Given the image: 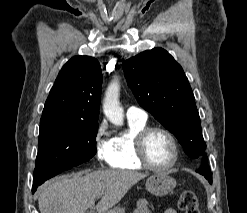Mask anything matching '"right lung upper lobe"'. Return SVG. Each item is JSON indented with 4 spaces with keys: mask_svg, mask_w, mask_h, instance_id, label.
I'll return each instance as SVG.
<instances>
[{
    "mask_svg": "<svg viewBox=\"0 0 247 213\" xmlns=\"http://www.w3.org/2000/svg\"><path fill=\"white\" fill-rule=\"evenodd\" d=\"M101 85L102 72L95 58L72 57L59 72L40 123L98 124Z\"/></svg>",
    "mask_w": 247,
    "mask_h": 213,
    "instance_id": "obj_1",
    "label": "right lung upper lobe"
}]
</instances>
